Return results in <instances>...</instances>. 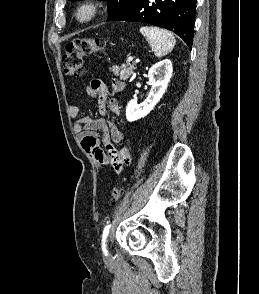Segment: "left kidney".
I'll list each match as a JSON object with an SVG mask.
<instances>
[{
  "instance_id": "left-kidney-1",
  "label": "left kidney",
  "mask_w": 259,
  "mask_h": 294,
  "mask_svg": "<svg viewBox=\"0 0 259 294\" xmlns=\"http://www.w3.org/2000/svg\"><path fill=\"white\" fill-rule=\"evenodd\" d=\"M172 72V62L169 59H164L150 68L148 72L151 85L150 93L141 104H138L135 100L129 101L126 107V119L129 122L141 119L153 110L165 93L172 77Z\"/></svg>"
}]
</instances>
